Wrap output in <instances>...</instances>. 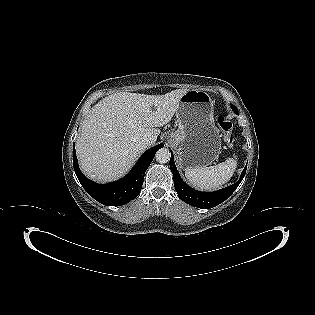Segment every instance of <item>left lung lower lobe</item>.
<instances>
[{
	"mask_svg": "<svg viewBox=\"0 0 315 315\" xmlns=\"http://www.w3.org/2000/svg\"><path fill=\"white\" fill-rule=\"evenodd\" d=\"M246 168L241 173L237 183L215 192H201L189 187L181 178L174 163L173 153L171 152L170 169L174 177L175 190L184 202L198 208H212L225 201L236 190L245 176Z\"/></svg>",
	"mask_w": 315,
	"mask_h": 315,
	"instance_id": "left-lung-lower-lobe-1",
	"label": "left lung lower lobe"
}]
</instances>
